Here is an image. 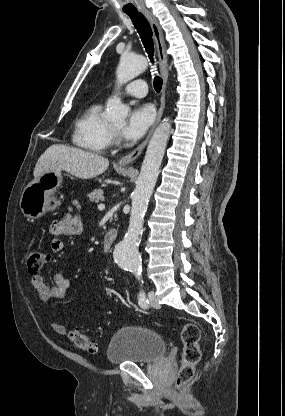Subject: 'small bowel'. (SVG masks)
Segmentation results:
<instances>
[{
	"mask_svg": "<svg viewBox=\"0 0 285 416\" xmlns=\"http://www.w3.org/2000/svg\"><path fill=\"white\" fill-rule=\"evenodd\" d=\"M83 230V221L79 215L67 213L61 218L55 220L50 226V249L53 253H59L63 250L64 244L61 236H72L80 234ZM33 288L37 291L41 302L49 306L54 299H61L65 296L70 287L69 279L61 273L55 274L53 284H48L42 276H34L31 280ZM49 325L55 333L64 336L68 330L65 326L59 324L53 319H49Z\"/></svg>",
	"mask_w": 285,
	"mask_h": 416,
	"instance_id": "1",
	"label": "small bowel"
}]
</instances>
